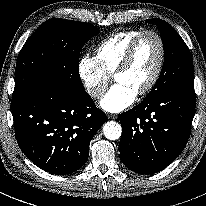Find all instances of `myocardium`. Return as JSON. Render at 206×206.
Listing matches in <instances>:
<instances>
[{"label": "myocardium", "mask_w": 206, "mask_h": 206, "mask_svg": "<svg viewBox=\"0 0 206 206\" xmlns=\"http://www.w3.org/2000/svg\"><path fill=\"white\" fill-rule=\"evenodd\" d=\"M145 35H153L159 44V49H160V53H159V60H158V64L156 66V69L151 77V79L149 80V82L147 83V85L141 89L138 93L137 96L141 97L144 95H147L149 92L152 91V89L155 87V85L157 84L163 67H164V63H165V56H166V49H165V44L163 41V38L161 37V35L154 31V30H144L142 32H140L130 43V45L128 46L122 60L120 61V63L118 64L115 72L113 73V77L114 79L116 78L117 75L125 72L127 70V68L129 67L133 56L135 54L136 48L138 46V43L140 42V40L145 36Z\"/></svg>", "instance_id": "1"}]
</instances>
